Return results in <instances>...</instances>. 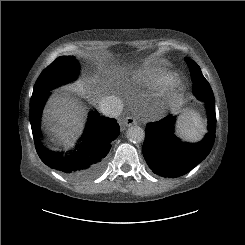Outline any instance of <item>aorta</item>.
Masks as SVG:
<instances>
[{"label": "aorta", "mask_w": 245, "mask_h": 245, "mask_svg": "<svg viewBox=\"0 0 245 245\" xmlns=\"http://www.w3.org/2000/svg\"><path fill=\"white\" fill-rule=\"evenodd\" d=\"M127 137L134 143H140L145 138V132L139 126H132L127 131Z\"/></svg>", "instance_id": "762f6f07"}]
</instances>
